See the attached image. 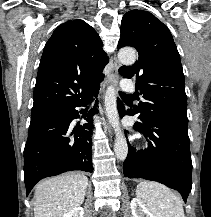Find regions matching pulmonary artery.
I'll list each match as a JSON object with an SVG mask.
<instances>
[{
	"label": "pulmonary artery",
	"instance_id": "e3ab8cb5",
	"mask_svg": "<svg viewBox=\"0 0 211 217\" xmlns=\"http://www.w3.org/2000/svg\"><path fill=\"white\" fill-rule=\"evenodd\" d=\"M121 87L125 92H134L135 91V85L131 80L125 79L121 83Z\"/></svg>",
	"mask_w": 211,
	"mask_h": 217
}]
</instances>
